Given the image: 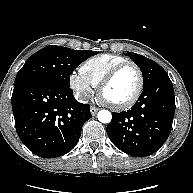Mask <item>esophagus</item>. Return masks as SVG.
I'll list each match as a JSON object with an SVG mask.
<instances>
[{
    "instance_id": "34e87169",
    "label": "esophagus",
    "mask_w": 193,
    "mask_h": 193,
    "mask_svg": "<svg viewBox=\"0 0 193 193\" xmlns=\"http://www.w3.org/2000/svg\"><path fill=\"white\" fill-rule=\"evenodd\" d=\"M99 111V108L91 106L90 107V112L92 115H95Z\"/></svg>"
}]
</instances>
